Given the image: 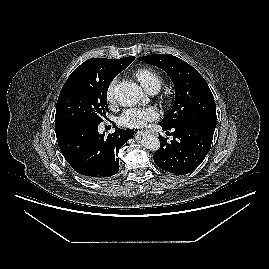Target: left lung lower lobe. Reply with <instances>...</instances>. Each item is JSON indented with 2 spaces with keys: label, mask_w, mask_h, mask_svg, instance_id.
Masks as SVG:
<instances>
[{
  "label": "left lung lower lobe",
  "mask_w": 269,
  "mask_h": 269,
  "mask_svg": "<svg viewBox=\"0 0 269 269\" xmlns=\"http://www.w3.org/2000/svg\"><path fill=\"white\" fill-rule=\"evenodd\" d=\"M215 127L216 122L206 120L173 128L171 142L160 137L161 147L153 156L155 164L170 173L184 175L192 172L209 152ZM162 129L171 130L164 126Z\"/></svg>",
  "instance_id": "1"
}]
</instances>
